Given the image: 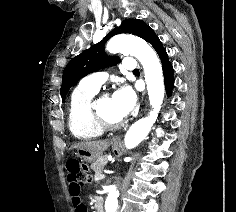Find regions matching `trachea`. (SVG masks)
Returning <instances> with one entry per match:
<instances>
[{
    "label": "trachea",
    "instance_id": "3493384b",
    "mask_svg": "<svg viewBox=\"0 0 236 212\" xmlns=\"http://www.w3.org/2000/svg\"><path fill=\"white\" fill-rule=\"evenodd\" d=\"M133 73H139V69H135Z\"/></svg>",
    "mask_w": 236,
    "mask_h": 212
}]
</instances>
